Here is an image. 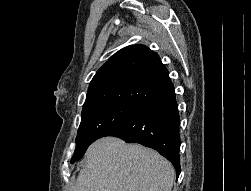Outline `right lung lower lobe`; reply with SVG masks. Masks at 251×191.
Returning a JSON list of instances; mask_svg holds the SVG:
<instances>
[{"mask_svg":"<svg viewBox=\"0 0 251 191\" xmlns=\"http://www.w3.org/2000/svg\"><path fill=\"white\" fill-rule=\"evenodd\" d=\"M179 125L178 104L172 87L105 136L118 137L127 143H140L155 149L173 164L178 178L181 172Z\"/></svg>","mask_w":251,"mask_h":191,"instance_id":"right-lung-lower-lobe-1","label":"right lung lower lobe"}]
</instances>
